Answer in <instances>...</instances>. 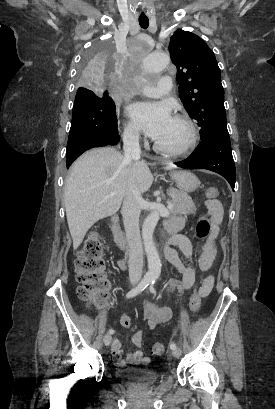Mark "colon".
Returning a JSON list of instances; mask_svg holds the SVG:
<instances>
[{"mask_svg":"<svg viewBox=\"0 0 275 409\" xmlns=\"http://www.w3.org/2000/svg\"><path fill=\"white\" fill-rule=\"evenodd\" d=\"M219 191L216 188L207 190L208 198L214 200L218 197ZM210 233V222L207 217H201L195 226V236L198 240H204ZM102 235L98 230H92L85 239L79 258L76 260V278L79 283L77 289L78 298L87 303L96 304L100 300L101 294L106 292L111 286V280L105 272L103 260ZM205 292L198 287L191 297L189 308L191 312H196L201 305ZM153 355L155 358H162L164 355V344L155 342L153 344Z\"/></svg>","mask_w":275,"mask_h":409,"instance_id":"colon-1","label":"colon"}]
</instances>
